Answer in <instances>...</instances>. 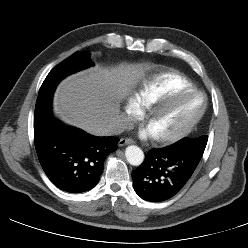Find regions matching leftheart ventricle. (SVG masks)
<instances>
[{"label":"left heart ventricle","instance_id":"1","mask_svg":"<svg viewBox=\"0 0 248 248\" xmlns=\"http://www.w3.org/2000/svg\"><path fill=\"white\" fill-rule=\"evenodd\" d=\"M202 107L203 97L199 94L180 98L154 117L148 128L155 136L174 133L194 118Z\"/></svg>","mask_w":248,"mask_h":248}]
</instances>
